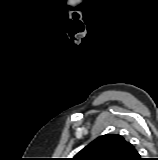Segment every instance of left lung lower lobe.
<instances>
[{
  "label": "left lung lower lobe",
  "mask_w": 158,
  "mask_h": 160,
  "mask_svg": "<svg viewBox=\"0 0 158 160\" xmlns=\"http://www.w3.org/2000/svg\"><path fill=\"white\" fill-rule=\"evenodd\" d=\"M132 160H142V158H140V155L138 154L137 151H136L135 156L132 158Z\"/></svg>",
  "instance_id": "left-lung-lower-lobe-1"
}]
</instances>
